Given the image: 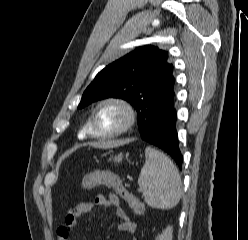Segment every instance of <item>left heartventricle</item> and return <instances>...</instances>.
<instances>
[{
	"label": "left heart ventricle",
	"instance_id": "left-heart-ventricle-1",
	"mask_svg": "<svg viewBox=\"0 0 248 240\" xmlns=\"http://www.w3.org/2000/svg\"><path fill=\"white\" fill-rule=\"evenodd\" d=\"M125 121L121 109L115 106H104L96 114L95 130L98 133H110L118 129Z\"/></svg>",
	"mask_w": 248,
	"mask_h": 240
}]
</instances>
